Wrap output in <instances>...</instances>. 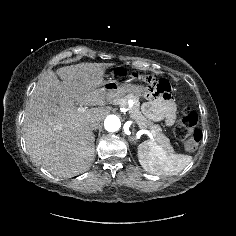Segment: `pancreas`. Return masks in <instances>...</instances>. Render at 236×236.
<instances>
[{
  "mask_svg": "<svg viewBox=\"0 0 236 236\" xmlns=\"http://www.w3.org/2000/svg\"><path fill=\"white\" fill-rule=\"evenodd\" d=\"M133 98L134 105L130 109V116L138 123L140 128L149 129L153 134L154 143L163 147L167 152H173L174 149L170 144L169 139L161 133L162 129L159 125L153 124L151 121H148L140 112L139 101L135 99L132 95H127L121 98V104L127 106V100Z\"/></svg>",
  "mask_w": 236,
  "mask_h": 236,
  "instance_id": "pancreas-1",
  "label": "pancreas"
}]
</instances>
